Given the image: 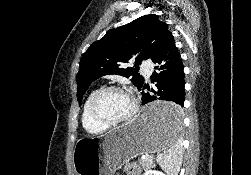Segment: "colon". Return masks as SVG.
Masks as SVG:
<instances>
[{"mask_svg":"<svg viewBox=\"0 0 251 175\" xmlns=\"http://www.w3.org/2000/svg\"><path fill=\"white\" fill-rule=\"evenodd\" d=\"M126 175H139L140 166L135 162H130L125 166Z\"/></svg>","mask_w":251,"mask_h":175,"instance_id":"5ec220e1","label":"colon"}]
</instances>
